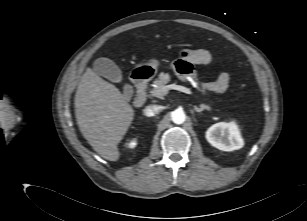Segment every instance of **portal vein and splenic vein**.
<instances>
[{
  "label": "portal vein and splenic vein",
  "mask_w": 307,
  "mask_h": 221,
  "mask_svg": "<svg viewBox=\"0 0 307 221\" xmlns=\"http://www.w3.org/2000/svg\"><path fill=\"white\" fill-rule=\"evenodd\" d=\"M170 89L178 90V91L184 92V93L189 94V95L192 94V92L189 88H186V87L181 86V85H175V84L165 86L162 90L159 91V94L164 96L168 93V91Z\"/></svg>",
  "instance_id": "obj_1"
}]
</instances>
